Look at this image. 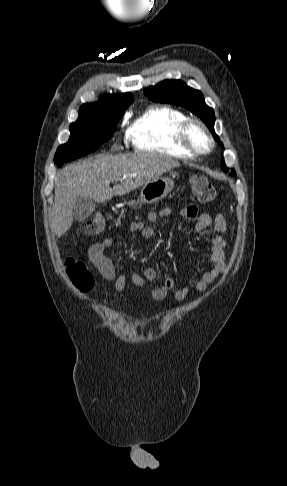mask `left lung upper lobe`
<instances>
[{"label":"left lung upper lobe","instance_id":"1","mask_svg":"<svg viewBox=\"0 0 287 486\" xmlns=\"http://www.w3.org/2000/svg\"><path fill=\"white\" fill-rule=\"evenodd\" d=\"M144 93L154 102L170 103L189 109L202 119L210 129L214 139L219 140L214 131V110L206 105L203 94L200 91L188 87L180 80H165L155 86L146 88ZM221 167L225 172L236 175L234 169L229 170L225 166L224 159L221 160Z\"/></svg>","mask_w":287,"mask_h":486}]
</instances>
